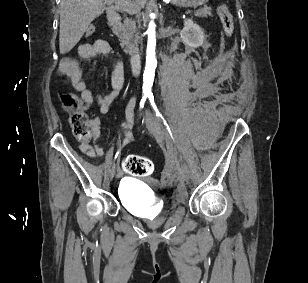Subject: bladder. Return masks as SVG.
Segmentation results:
<instances>
[{
    "label": "bladder",
    "instance_id": "31cf9c89",
    "mask_svg": "<svg viewBox=\"0 0 308 283\" xmlns=\"http://www.w3.org/2000/svg\"><path fill=\"white\" fill-rule=\"evenodd\" d=\"M119 196L129 209L136 211L141 216H148L149 210L144 204L146 194H144L139 184L125 179L121 180Z\"/></svg>",
    "mask_w": 308,
    "mask_h": 283
}]
</instances>
